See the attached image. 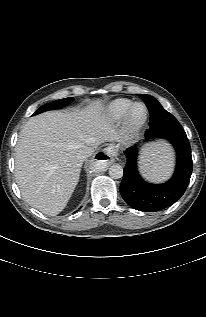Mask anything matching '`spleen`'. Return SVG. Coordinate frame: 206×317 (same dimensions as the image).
<instances>
[{
	"instance_id": "obj_1",
	"label": "spleen",
	"mask_w": 206,
	"mask_h": 317,
	"mask_svg": "<svg viewBox=\"0 0 206 317\" xmlns=\"http://www.w3.org/2000/svg\"><path fill=\"white\" fill-rule=\"evenodd\" d=\"M140 170L150 181L166 179L172 170V153L165 143L151 145L143 151Z\"/></svg>"
}]
</instances>
